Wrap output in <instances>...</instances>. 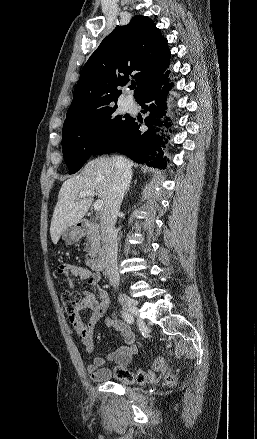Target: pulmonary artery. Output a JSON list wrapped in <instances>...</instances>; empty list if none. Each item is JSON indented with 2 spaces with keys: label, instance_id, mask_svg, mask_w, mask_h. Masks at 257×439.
<instances>
[{
  "label": "pulmonary artery",
  "instance_id": "e3ab8cb5",
  "mask_svg": "<svg viewBox=\"0 0 257 439\" xmlns=\"http://www.w3.org/2000/svg\"><path fill=\"white\" fill-rule=\"evenodd\" d=\"M124 104L127 108H132L134 106V102L132 99H126Z\"/></svg>",
  "mask_w": 257,
  "mask_h": 439
}]
</instances>
